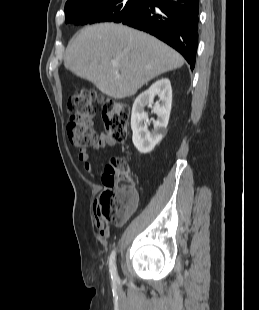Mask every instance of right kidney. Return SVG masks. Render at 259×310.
<instances>
[{
  "label": "right kidney",
  "mask_w": 259,
  "mask_h": 310,
  "mask_svg": "<svg viewBox=\"0 0 259 310\" xmlns=\"http://www.w3.org/2000/svg\"><path fill=\"white\" fill-rule=\"evenodd\" d=\"M159 102L153 107L157 120L153 121V130H148L146 106H152L154 98ZM172 105V88L169 79L162 78L141 93L134 101L131 114L132 141L137 150L146 154L151 152L166 133Z\"/></svg>",
  "instance_id": "ca27d5eb"
}]
</instances>
